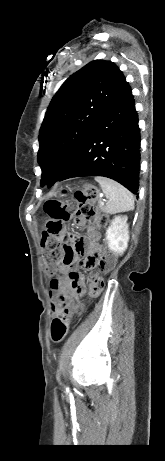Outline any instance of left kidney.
Returning a JSON list of instances; mask_svg holds the SVG:
<instances>
[{
	"label": "left kidney",
	"mask_w": 165,
	"mask_h": 461,
	"mask_svg": "<svg viewBox=\"0 0 165 461\" xmlns=\"http://www.w3.org/2000/svg\"><path fill=\"white\" fill-rule=\"evenodd\" d=\"M127 220L128 218L125 215L115 216L106 232V239L110 250L119 255L123 254L128 246L129 231Z\"/></svg>",
	"instance_id": "5707ae66"
}]
</instances>
